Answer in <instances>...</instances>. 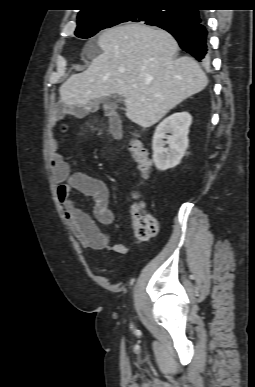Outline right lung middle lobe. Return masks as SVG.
<instances>
[{
	"label": "right lung middle lobe",
	"instance_id": "1",
	"mask_svg": "<svg viewBox=\"0 0 255 387\" xmlns=\"http://www.w3.org/2000/svg\"><path fill=\"white\" fill-rule=\"evenodd\" d=\"M180 20L178 8L161 11L158 6H123L78 19L75 35L79 38H90L100 30L128 21L159 27Z\"/></svg>",
	"mask_w": 255,
	"mask_h": 387
}]
</instances>
